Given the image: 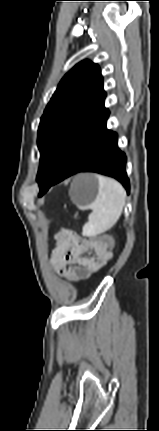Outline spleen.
<instances>
[{
    "label": "spleen",
    "mask_w": 159,
    "mask_h": 431,
    "mask_svg": "<svg viewBox=\"0 0 159 431\" xmlns=\"http://www.w3.org/2000/svg\"><path fill=\"white\" fill-rule=\"evenodd\" d=\"M99 192L96 200L89 206L92 210L83 234L95 236L110 230L120 218L126 202V191L114 179L97 175Z\"/></svg>",
    "instance_id": "1"
}]
</instances>
